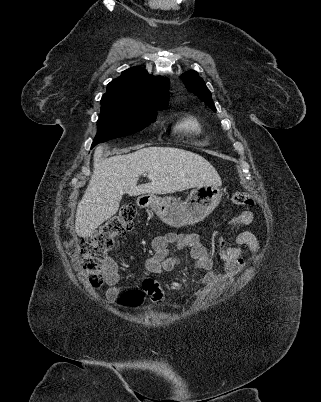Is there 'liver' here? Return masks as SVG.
Segmentation results:
<instances>
[{
    "instance_id": "6515ba94",
    "label": "liver",
    "mask_w": 321,
    "mask_h": 402,
    "mask_svg": "<svg viewBox=\"0 0 321 402\" xmlns=\"http://www.w3.org/2000/svg\"><path fill=\"white\" fill-rule=\"evenodd\" d=\"M103 147L94 152L93 174L76 210L79 237L91 235L114 216L122 196L168 194L208 184L221 185L215 168L202 156L174 147H145L125 155L102 158ZM143 174L150 182L137 186Z\"/></svg>"
}]
</instances>
